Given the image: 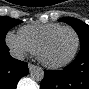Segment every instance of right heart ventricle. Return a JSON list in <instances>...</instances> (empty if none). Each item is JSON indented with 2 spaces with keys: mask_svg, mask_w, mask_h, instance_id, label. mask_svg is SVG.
Returning <instances> with one entry per match:
<instances>
[{
  "mask_svg": "<svg viewBox=\"0 0 89 89\" xmlns=\"http://www.w3.org/2000/svg\"><path fill=\"white\" fill-rule=\"evenodd\" d=\"M59 27L61 25L58 23L29 24L19 29V36L30 46L32 52L36 53L43 39Z\"/></svg>",
  "mask_w": 89,
  "mask_h": 89,
  "instance_id": "e07e8e85",
  "label": "right heart ventricle"
}]
</instances>
